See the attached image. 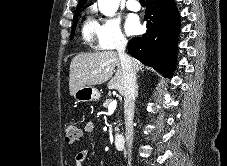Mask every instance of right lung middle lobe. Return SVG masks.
Returning <instances> with one entry per match:
<instances>
[{
  "label": "right lung middle lobe",
  "mask_w": 227,
  "mask_h": 166,
  "mask_svg": "<svg viewBox=\"0 0 227 166\" xmlns=\"http://www.w3.org/2000/svg\"><path fill=\"white\" fill-rule=\"evenodd\" d=\"M82 7H77L75 15H74V19H73V26L71 29V39L74 37L75 34V28H76V23H77V19H78V12L80 11Z\"/></svg>",
  "instance_id": "1"
}]
</instances>
